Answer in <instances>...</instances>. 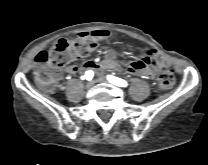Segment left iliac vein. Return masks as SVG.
I'll use <instances>...</instances> for the list:
<instances>
[{"instance_id":"left-iliac-vein-1","label":"left iliac vein","mask_w":208,"mask_h":165,"mask_svg":"<svg viewBox=\"0 0 208 165\" xmlns=\"http://www.w3.org/2000/svg\"><path fill=\"white\" fill-rule=\"evenodd\" d=\"M97 82H107L106 78L105 77H99L97 79Z\"/></svg>"}]
</instances>
